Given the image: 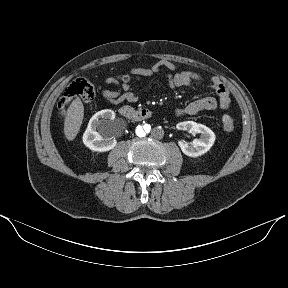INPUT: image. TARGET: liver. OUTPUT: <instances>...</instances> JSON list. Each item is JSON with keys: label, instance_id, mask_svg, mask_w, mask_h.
<instances>
[{"label": "liver", "instance_id": "1", "mask_svg": "<svg viewBox=\"0 0 288 288\" xmlns=\"http://www.w3.org/2000/svg\"><path fill=\"white\" fill-rule=\"evenodd\" d=\"M84 117V106L79 98H75L67 109L64 122L65 137L72 141L77 136Z\"/></svg>", "mask_w": 288, "mask_h": 288}]
</instances>
